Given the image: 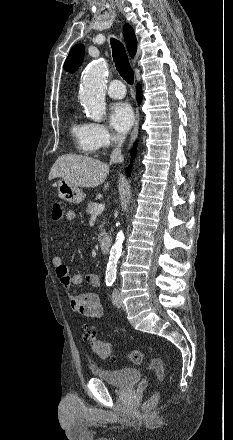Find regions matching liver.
<instances>
[{
    "instance_id": "6515ba94",
    "label": "liver",
    "mask_w": 233,
    "mask_h": 440,
    "mask_svg": "<svg viewBox=\"0 0 233 440\" xmlns=\"http://www.w3.org/2000/svg\"><path fill=\"white\" fill-rule=\"evenodd\" d=\"M109 173V166L92 157L67 154L58 157L53 164L49 180L60 177L77 187H97ZM109 184L104 185L107 190Z\"/></svg>"
}]
</instances>
